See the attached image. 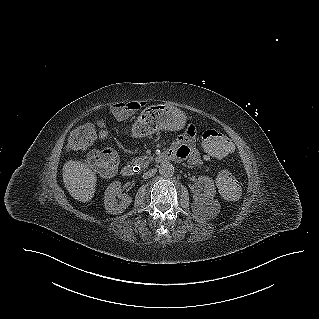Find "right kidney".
Segmentation results:
<instances>
[{
    "instance_id": "obj_1",
    "label": "right kidney",
    "mask_w": 319,
    "mask_h": 319,
    "mask_svg": "<svg viewBox=\"0 0 319 319\" xmlns=\"http://www.w3.org/2000/svg\"><path fill=\"white\" fill-rule=\"evenodd\" d=\"M118 196L119 200L116 199ZM132 202V197L122 193L121 183L119 181L112 182L105 191L104 206L109 214H121Z\"/></svg>"
}]
</instances>
